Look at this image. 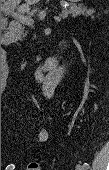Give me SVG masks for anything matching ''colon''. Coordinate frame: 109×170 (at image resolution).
<instances>
[{
  "label": "colon",
  "mask_w": 109,
  "mask_h": 170,
  "mask_svg": "<svg viewBox=\"0 0 109 170\" xmlns=\"http://www.w3.org/2000/svg\"><path fill=\"white\" fill-rule=\"evenodd\" d=\"M27 170H41L40 165L37 163L29 164Z\"/></svg>",
  "instance_id": "obj_1"
}]
</instances>
